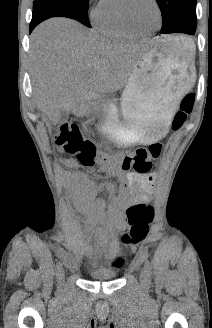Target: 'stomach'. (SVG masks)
I'll return each mask as SVG.
<instances>
[{
  "label": "stomach",
  "instance_id": "0dacf381",
  "mask_svg": "<svg viewBox=\"0 0 212 328\" xmlns=\"http://www.w3.org/2000/svg\"><path fill=\"white\" fill-rule=\"evenodd\" d=\"M193 54L180 42L165 40L139 59L110 110V127L121 146L150 143L167 133L178 100L195 82Z\"/></svg>",
  "mask_w": 212,
  "mask_h": 328
}]
</instances>
